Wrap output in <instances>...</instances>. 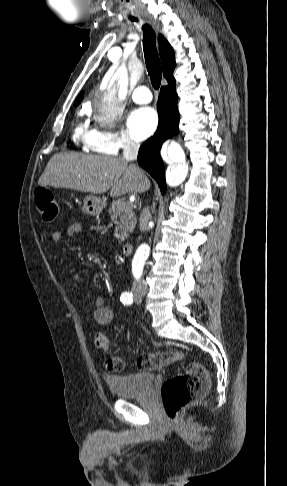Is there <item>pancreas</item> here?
<instances>
[{
	"instance_id": "pancreas-1",
	"label": "pancreas",
	"mask_w": 287,
	"mask_h": 486,
	"mask_svg": "<svg viewBox=\"0 0 287 486\" xmlns=\"http://www.w3.org/2000/svg\"><path fill=\"white\" fill-rule=\"evenodd\" d=\"M108 212L111 220L116 225L115 235L120 241H124L136 225V215L133 212V205L124 200L112 201Z\"/></svg>"
}]
</instances>
